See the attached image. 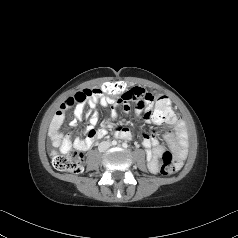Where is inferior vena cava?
Here are the masks:
<instances>
[{"label":"inferior vena cava","instance_id":"obj_1","mask_svg":"<svg viewBox=\"0 0 238 238\" xmlns=\"http://www.w3.org/2000/svg\"><path fill=\"white\" fill-rule=\"evenodd\" d=\"M110 145H111V144H110L109 142L104 141V142H101V143L99 144L98 149H99L100 152H103V151L107 150V149L110 147Z\"/></svg>","mask_w":238,"mask_h":238}]
</instances>
